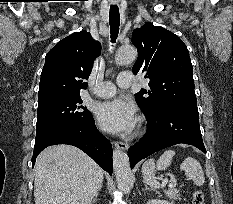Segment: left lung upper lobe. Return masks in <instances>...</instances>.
Returning <instances> with one entry per match:
<instances>
[{
	"mask_svg": "<svg viewBox=\"0 0 233 204\" xmlns=\"http://www.w3.org/2000/svg\"><path fill=\"white\" fill-rule=\"evenodd\" d=\"M138 58L132 71L145 74L149 90L135 94L146 116L161 109L197 110L192 64L188 49L174 33L145 23L132 33Z\"/></svg>",
	"mask_w": 233,
	"mask_h": 204,
	"instance_id": "5c2ea615",
	"label": "left lung upper lobe"
}]
</instances>
